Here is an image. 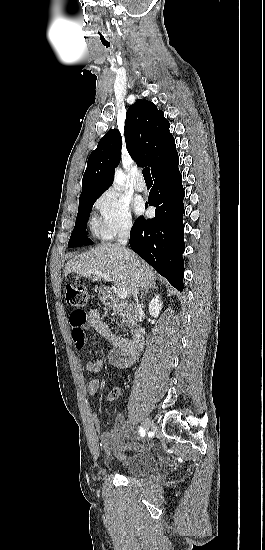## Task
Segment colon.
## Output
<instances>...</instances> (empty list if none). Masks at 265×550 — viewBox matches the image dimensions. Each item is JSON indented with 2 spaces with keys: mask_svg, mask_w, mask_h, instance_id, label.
<instances>
[{
  "mask_svg": "<svg viewBox=\"0 0 265 550\" xmlns=\"http://www.w3.org/2000/svg\"><path fill=\"white\" fill-rule=\"evenodd\" d=\"M90 295L83 285L69 283L66 285V301L72 308L69 319L72 333L75 339L82 335L86 323V314L83 307L89 302ZM117 395L116 391L111 393L112 397Z\"/></svg>",
  "mask_w": 265,
  "mask_h": 550,
  "instance_id": "5ec220e1",
  "label": "colon"
}]
</instances>
